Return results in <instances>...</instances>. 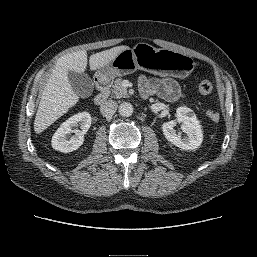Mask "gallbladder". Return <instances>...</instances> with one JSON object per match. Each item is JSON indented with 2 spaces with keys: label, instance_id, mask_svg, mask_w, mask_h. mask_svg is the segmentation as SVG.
Returning a JSON list of instances; mask_svg holds the SVG:
<instances>
[{
  "label": "gallbladder",
  "instance_id": "bac80fb5",
  "mask_svg": "<svg viewBox=\"0 0 257 257\" xmlns=\"http://www.w3.org/2000/svg\"><path fill=\"white\" fill-rule=\"evenodd\" d=\"M70 84L74 92L81 98L89 97L94 88L91 78L86 73H76L70 71L68 73Z\"/></svg>",
  "mask_w": 257,
  "mask_h": 257
}]
</instances>
